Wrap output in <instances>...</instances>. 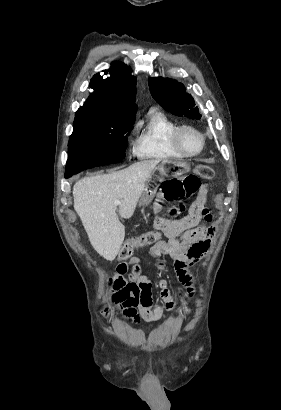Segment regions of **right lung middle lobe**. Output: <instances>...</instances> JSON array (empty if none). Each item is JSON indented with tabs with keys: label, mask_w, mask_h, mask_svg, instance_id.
Listing matches in <instances>:
<instances>
[{
	"label": "right lung middle lobe",
	"mask_w": 281,
	"mask_h": 410,
	"mask_svg": "<svg viewBox=\"0 0 281 410\" xmlns=\"http://www.w3.org/2000/svg\"><path fill=\"white\" fill-rule=\"evenodd\" d=\"M134 116L110 117L92 110H78L70 136L65 174L116 163L125 158Z\"/></svg>",
	"instance_id": "dd1d6c3e"
}]
</instances>
